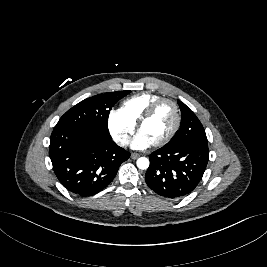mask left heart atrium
<instances>
[{
	"label": "left heart atrium",
	"instance_id": "39dd6f15",
	"mask_svg": "<svg viewBox=\"0 0 267 267\" xmlns=\"http://www.w3.org/2000/svg\"><path fill=\"white\" fill-rule=\"evenodd\" d=\"M131 147L134 149H146L153 145V142L148 139L144 134L138 133L130 143Z\"/></svg>",
	"mask_w": 267,
	"mask_h": 267
}]
</instances>
